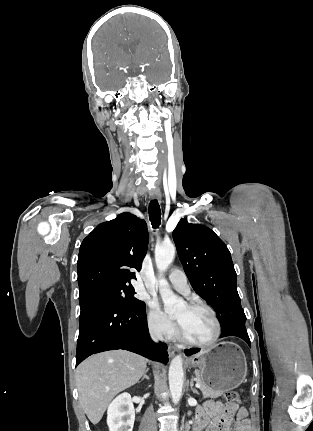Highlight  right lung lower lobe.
<instances>
[{
	"label": "right lung lower lobe",
	"mask_w": 313,
	"mask_h": 431,
	"mask_svg": "<svg viewBox=\"0 0 313 431\" xmlns=\"http://www.w3.org/2000/svg\"><path fill=\"white\" fill-rule=\"evenodd\" d=\"M80 307L76 366L92 354L114 349L168 362L167 345L150 338L146 306L130 309L109 299L91 298Z\"/></svg>",
	"instance_id": "98d812e1"
}]
</instances>
